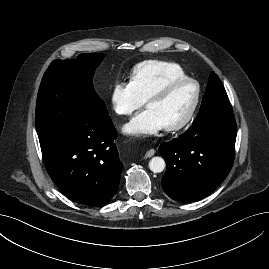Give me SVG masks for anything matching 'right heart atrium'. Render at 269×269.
<instances>
[{
	"label": "right heart atrium",
	"instance_id": "obj_1",
	"mask_svg": "<svg viewBox=\"0 0 269 269\" xmlns=\"http://www.w3.org/2000/svg\"><path fill=\"white\" fill-rule=\"evenodd\" d=\"M110 104L115 114L130 116L143 105L131 82L116 81L110 92Z\"/></svg>",
	"mask_w": 269,
	"mask_h": 269
}]
</instances>
